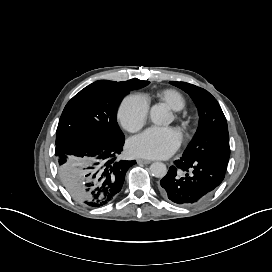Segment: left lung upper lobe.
Wrapping results in <instances>:
<instances>
[{"mask_svg": "<svg viewBox=\"0 0 272 272\" xmlns=\"http://www.w3.org/2000/svg\"><path fill=\"white\" fill-rule=\"evenodd\" d=\"M190 95L199 114V126L182 159L211 158L228 163L229 134L217 100L205 89L186 82H170Z\"/></svg>", "mask_w": 272, "mask_h": 272, "instance_id": "5c2ea615", "label": "left lung upper lobe"}]
</instances>
